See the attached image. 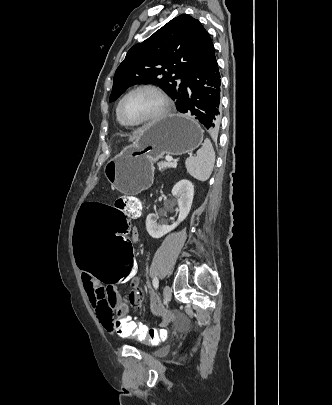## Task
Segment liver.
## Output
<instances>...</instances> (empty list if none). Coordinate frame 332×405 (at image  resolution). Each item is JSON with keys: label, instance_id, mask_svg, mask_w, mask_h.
<instances>
[{"label": "liver", "instance_id": "1", "mask_svg": "<svg viewBox=\"0 0 332 405\" xmlns=\"http://www.w3.org/2000/svg\"><path fill=\"white\" fill-rule=\"evenodd\" d=\"M145 129H146V127H143V128H141V129H139L136 133H135V135L133 136V140L135 139H137L141 134H143L144 133V131H145Z\"/></svg>", "mask_w": 332, "mask_h": 405}]
</instances>
